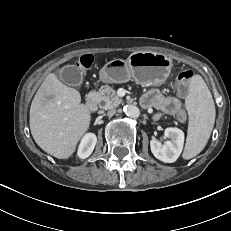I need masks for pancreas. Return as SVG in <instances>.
Wrapping results in <instances>:
<instances>
[{"label":"pancreas","mask_w":231,"mask_h":231,"mask_svg":"<svg viewBox=\"0 0 231 231\" xmlns=\"http://www.w3.org/2000/svg\"><path fill=\"white\" fill-rule=\"evenodd\" d=\"M94 98L102 109H112L117 107L122 99L116 94L113 87L105 85L94 92Z\"/></svg>","instance_id":"pancreas-1"}]
</instances>
